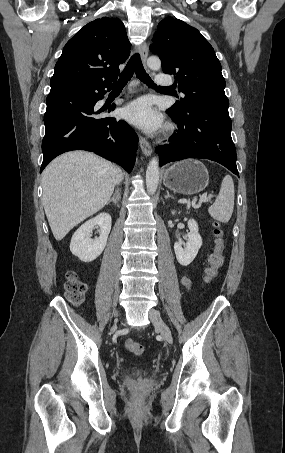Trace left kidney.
Listing matches in <instances>:
<instances>
[{
  "label": "left kidney",
  "mask_w": 285,
  "mask_h": 453,
  "mask_svg": "<svg viewBox=\"0 0 285 453\" xmlns=\"http://www.w3.org/2000/svg\"><path fill=\"white\" fill-rule=\"evenodd\" d=\"M172 214L174 215L175 212L173 211ZM188 228L189 233L187 234V243L184 244L179 240L174 244L177 261L182 266L189 265L197 256L198 251L202 246V238L199 234L198 224L194 219L188 221Z\"/></svg>",
  "instance_id": "left-kidney-1"
}]
</instances>
